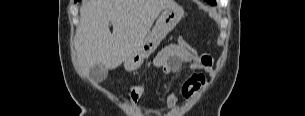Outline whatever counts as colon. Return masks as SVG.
I'll use <instances>...</instances> for the list:
<instances>
[{"mask_svg": "<svg viewBox=\"0 0 305 116\" xmlns=\"http://www.w3.org/2000/svg\"><path fill=\"white\" fill-rule=\"evenodd\" d=\"M195 78L196 76L193 75ZM146 86L143 83L136 84L131 87L128 93V103L130 107H137L142 101L145 94Z\"/></svg>", "mask_w": 305, "mask_h": 116, "instance_id": "5ec220e1", "label": "colon"}]
</instances>
